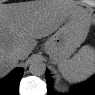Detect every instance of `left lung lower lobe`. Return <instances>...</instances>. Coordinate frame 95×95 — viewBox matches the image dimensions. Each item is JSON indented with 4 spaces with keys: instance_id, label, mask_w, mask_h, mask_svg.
I'll list each match as a JSON object with an SVG mask.
<instances>
[{
    "instance_id": "left-lung-lower-lobe-1",
    "label": "left lung lower lobe",
    "mask_w": 95,
    "mask_h": 95,
    "mask_svg": "<svg viewBox=\"0 0 95 95\" xmlns=\"http://www.w3.org/2000/svg\"><path fill=\"white\" fill-rule=\"evenodd\" d=\"M45 77H46V80H47L48 87H50L51 80L49 78L48 73H46ZM94 90H95V80L92 79L91 81L86 83L84 86L79 87L76 90L75 94H89V93H92Z\"/></svg>"
}]
</instances>
